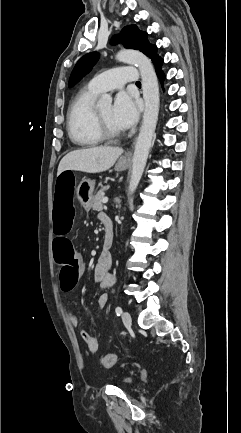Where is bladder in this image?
<instances>
[{"mask_svg": "<svg viewBox=\"0 0 241 433\" xmlns=\"http://www.w3.org/2000/svg\"><path fill=\"white\" fill-rule=\"evenodd\" d=\"M132 384V379L130 377H126L124 379H122L120 385L123 387H130Z\"/></svg>", "mask_w": 241, "mask_h": 433, "instance_id": "31cf9c89", "label": "bladder"}]
</instances>
